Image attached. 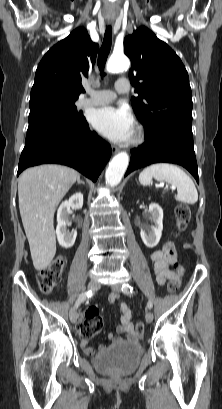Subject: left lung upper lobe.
Masks as SVG:
<instances>
[{
	"label": "left lung upper lobe",
	"mask_w": 222,
	"mask_h": 409,
	"mask_svg": "<svg viewBox=\"0 0 222 409\" xmlns=\"http://www.w3.org/2000/svg\"><path fill=\"white\" fill-rule=\"evenodd\" d=\"M130 58L131 83L138 97L132 107L148 130L161 122L192 125V93L188 73L176 53L146 27L124 39Z\"/></svg>",
	"instance_id": "obj_1"
}]
</instances>
